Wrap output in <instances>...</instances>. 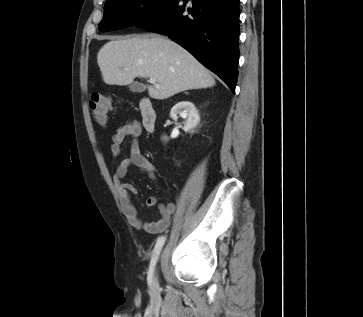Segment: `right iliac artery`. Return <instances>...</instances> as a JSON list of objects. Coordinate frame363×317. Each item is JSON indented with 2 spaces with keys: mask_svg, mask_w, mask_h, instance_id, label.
Returning <instances> with one entry per match:
<instances>
[{
  "mask_svg": "<svg viewBox=\"0 0 363 317\" xmlns=\"http://www.w3.org/2000/svg\"><path fill=\"white\" fill-rule=\"evenodd\" d=\"M164 243H165V237L164 236H161V237L158 238V240H157V242L155 244L154 253H153V256H152V259H151V263H150V267H149V274H148V280H149V282L152 281L154 266L156 264L158 255H159V253H160V251H161Z\"/></svg>",
  "mask_w": 363,
  "mask_h": 317,
  "instance_id": "obj_1",
  "label": "right iliac artery"
}]
</instances>
